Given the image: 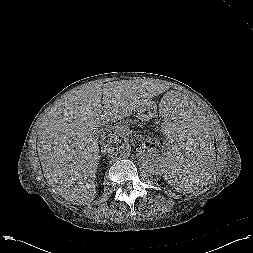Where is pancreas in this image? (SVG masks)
<instances>
[{"mask_svg":"<svg viewBox=\"0 0 253 253\" xmlns=\"http://www.w3.org/2000/svg\"><path fill=\"white\" fill-rule=\"evenodd\" d=\"M106 131L109 132L107 134V137L110 138V140L111 139L117 140L119 137L126 136L129 133V129L121 124H118L111 128H107Z\"/></svg>","mask_w":253,"mask_h":253,"instance_id":"cf45deb5","label":"pancreas"}]
</instances>
